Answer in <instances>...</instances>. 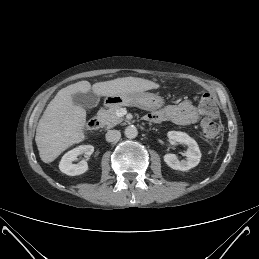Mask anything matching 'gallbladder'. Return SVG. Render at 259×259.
I'll use <instances>...</instances> for the list:
<instances>
[{"instance_id": "1", "label": "gallbladder", "mask_w": 259, "mask_h": 259, "mask_svg": "<svg viewBox=\"0 0 259 259\" xmlns=\"http://www.w3.org/2000/svg\"><path fill=\"white\" fill-rule=\"evenodd\" d=\"M72 101L75 105L82 106L85 109H91L97 106L99 97L91 91L87 93L77 92L72 95Z\"/></svg>"}]
</instances>
